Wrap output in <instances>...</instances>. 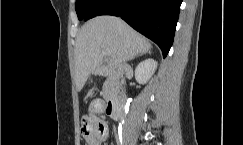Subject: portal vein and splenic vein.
I'll return each mask as SVG.
<instances>
[{
  "instance_id": "portal-vein-and-splenic-vein-1",
  "label": "portal vein and splenic vein",
  "mask_w": 243,
  "mask_h": 145,
  "mask_svg": "<svg viewBox=\"0 0 243 145\" xmlns=\"http://www.w3.org/2000/svg\"><path fill=\"white\" fill-rule=\"evenodd\" d=\"M103 53H104L105 55H107V56H110V55H111L110 51L107 50V49H104V50H103Z\"/></svg>"
}]
</instances>
